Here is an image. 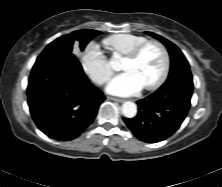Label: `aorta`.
<instances>
[{
    "mask_svg": "<svg viewBox=\"0 0 222 187\" xmlns=\"http://www.w3.org/2000/svg\"><path fill=\"white\" fill-rule=\"evenodd\" d=\"M122 113L127 118H133L137 114V106L134 102L126 101L122 105Z\"/></svg>",
    "mask_w": 222,
    "mask_h": 187,
    "instance_id": "762f6f07",
    "label": "aorta"
}]
</instances>
